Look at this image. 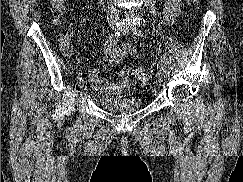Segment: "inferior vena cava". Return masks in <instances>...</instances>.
Returning a JSON list of instances; mask_svg holds the SVG:
<instances>
[{"mask_svg": "<svg viewBox=\"0 0 243 182\" xmlns=\"http://www.w3.org/2000/svg\"><path fill=\"white\" fill-rule=\"evenodd\" d=\"M112 1L113 0H110L111 3H110V6H109V10H110L111 14H118V10H116Z\"/></svg>", "mask_w": 243, "mask_h": 182, "instance_id": "obj_1", "label": "inferior vena cava"}]
</instances>
